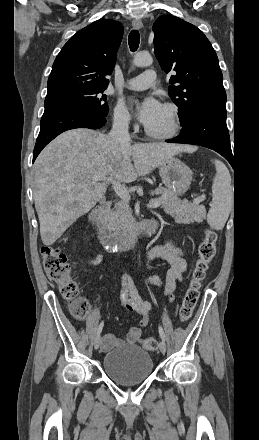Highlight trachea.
Listing matches in <instances>:
<instances>
[{"instance_id": "1", "label": "trachea", "mask_w": 259, "mask_h": 440, "mask_svg": "<svg viewBox=\"0 0 259 440\" xmlns=\"http://www.w3.org/2000/svg\"><path fill=\"white\" fill-rule=\"evenodd\" d=\"M128 43L132 52H135L138 49L140 43V35L138 30H132L130 32L128 36Z\"/></svg>"}]
</instances>
